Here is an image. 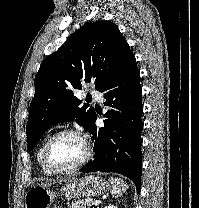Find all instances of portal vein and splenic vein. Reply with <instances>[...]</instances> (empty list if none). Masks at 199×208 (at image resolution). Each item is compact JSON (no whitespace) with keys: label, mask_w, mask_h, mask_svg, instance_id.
Wrapping results in <instances>:
<instances>
[{"label":"portal vein and splenic vein","mask_w":199,"mask_h":208,"mask_svg":"<svg viewBox=\"0 0 199 208\" xmlns=\"http://www.w3.org/2000/svg\"><path fill=\"white\" fill-rule=\"evenodd\" d=\"M99 204H100L99 201H96V202L92 203V205H94V206H97V205H99Z\"/></svg>","instance_id":"obj_1"}]
</instances>
